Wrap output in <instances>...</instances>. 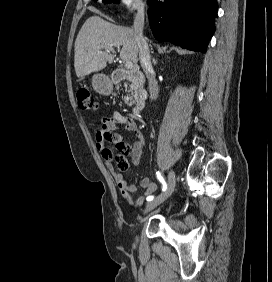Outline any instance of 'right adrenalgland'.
<instances>
[{
  "label": "right adrenal gland",
  "mask_w": 272,
  "mask_h": 282,
  "mask_svg": "<svg viewBox=\"0 0 272 282\" xmlns=\"http://www.w3.org/2000/svg\"><path fill=\"white\" fill-rule=\"evenodd\" d=\"M153 53V52H152ZM153 63L156 65L157 61L155 58H153Z\"/></svg>",
  "instance_id": "2a0ac1e0"
}]
</instances>
